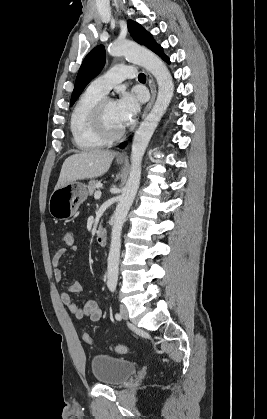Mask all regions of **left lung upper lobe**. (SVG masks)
Wrapping results in <instances>:
<instances>
[{"label":"left lung upper lobe","mask_w":267,"mask_h":419,"mask_svg":"<svg viewBox=\"0 0 267 419\" xmlns=\"http://www.w3.org/2000/svg\"><path fill=\"white\" fill-rule=\"evenodd\" d=\"M127 25L131 36L137 43L148 47L155 53L159 52L161 47L156 44L151 34L140 24L129 20ZM104 64L105 49L103 45H99L88 53L79 69L71 97V105L74 104L86 85L101 71Z\"/></svg>","instance_id":"obj_1"}]
</instances>
